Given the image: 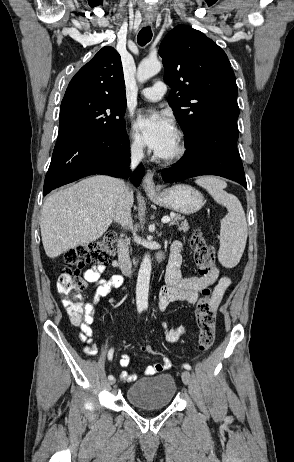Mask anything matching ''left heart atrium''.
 I'll return each instance as SVG.
<instances>
[{
	"label": "left heart atrium",
	"instance_id": "1",
	"mask_svg": "<svg viewBox=\"0 0 294 462\" xmlns=\"http://www.w3.org/2000/svg\"><path fill=\"white\" fill-rule=\"evenodd\" d=\"M134 127L142 134L145 143L157 154L164 156L176 139L171 119L165 114L153 111L138 115Z\"/></svg>",
	"mask_w": 294,
	"mask_h": 462
}]
</instances>
